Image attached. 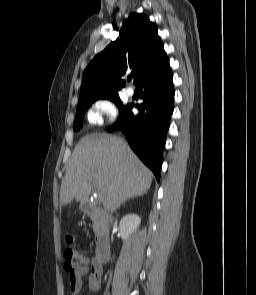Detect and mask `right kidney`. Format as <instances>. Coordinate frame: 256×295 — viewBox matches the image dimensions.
<instances>
[{"label":"right kidney","mask_w":256,"mask_h":295,"mask_svg":"<svg viewBox=\"0 0 256 295\" xmlns=\"http://www.w3.org/2000/svg\"><path fill=\"white\" fill-rule=\"evenodd\" d=\"M141 219L136 214H128L124 216L119 224L121 237L123 240H127L128 237L138 228Z\"/></svg>","instance_id":"right-kidney-1"}]
</instances>
